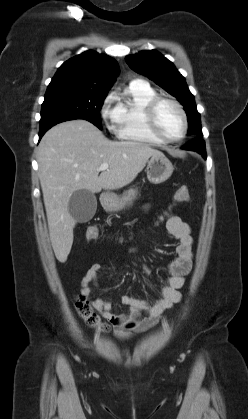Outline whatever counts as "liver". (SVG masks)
Segmentation results:
<instances>
[{
	"mask_svg": "<svg viewBox=\"0 0 248 419\" xmlns=\"http://www.w3.org/2000/svg\"><path fill=\"white\" fill-rule=\"evenodd\" d=\"M152 156L164 154L140 142L110 141L83 119L63 122L46 132L38 147V173L50 240L59 262L67 260L73 244L76 220L68 211L72 194L81 189L98 193L122 188ZM103 163L109 167L99 171Z\"/></svg>",
	"mask_w": 248,
	"mask_h": 419,
	"instance_id": "liver-1",
	"label": "liver"
}]
</instances>
